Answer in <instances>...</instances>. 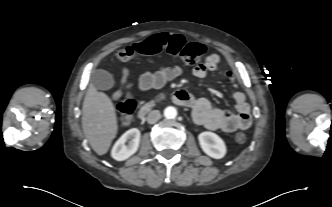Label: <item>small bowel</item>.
<instances>
[{
  "instance_id": "obj_1",
  "label": "small bowel",
  "mask_w": 332,
  "mask_h": 207,
  "mask_svg": "<svg viewBox=\"0 0 332 207\" xmlns=\"http://www.w3.org/2000/svg\"><path fill=\"white\" fill-rule=\"evenodd\" d=\"M220 64V58L216 54L209 55L204 62L193 67V74L197 78H204L210 72L215 71ZM182 73L179 66H162L156 72H146L136 78V86L141 91L160 89L168 81H171ZM226 78L234 88L233 99L236 104V113H231L211 105L207 98L194 99L193 118L197 124L209 130H221L233 132L247 129L251 125L250 105L243 92L238 88L236 76L233 71L226 72ZM125 78H123L124 80Z\"/></svg>"
}]
</instances>
